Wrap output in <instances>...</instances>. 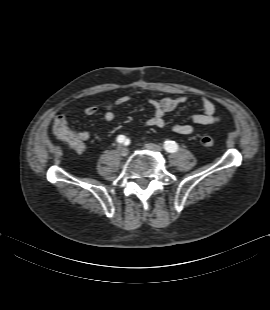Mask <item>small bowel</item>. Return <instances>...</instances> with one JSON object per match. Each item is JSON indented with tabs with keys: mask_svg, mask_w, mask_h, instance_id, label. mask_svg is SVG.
<instances>
[{
	"mask_svg": "<svg viewBox=\"0 0 270 310\" xmlns=\"http://www.w3.org/2000/svg\"><path fill=\"white\" fill-rule=\"evenodd\" d=\"M130 97L128 95H121L114 99H100L88 102L84 106V113L86 115H92L99 110H103V120L105 122H112L115 118V114L112 111L113 106L122 105L126 103ZM186 96L179 97H164L161 99H149L150 105L154 109V114L152 117L147 119L146 124L150 127L164 128L166 125L165 115L168 112L175 110L179 105L187 101ZM203 110L201 113L193 114L191 116V121L198 125H212L219 121L216 116V103L206 97L201 99ZM173 132L180 135H191L194 132L192 125L187 123L175 124L172 127ZM77 132V131H76ZM82 143V147L76 150H82L84 148L85 142L90 138V134L87 131L77 132Z\"/></svg>",
	"mask_w": 270,
	"mask_h": 310,
	"instance_id": "small-bowel-1",
	"label": "small bowel"
}]
</instances>
